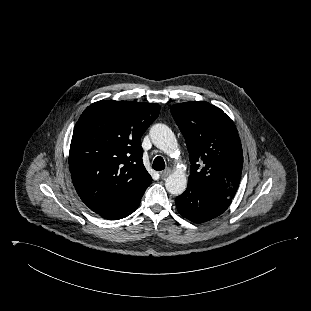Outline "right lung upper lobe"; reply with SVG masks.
Masks as SVG:
<instances>
[{
    "label": "right lung upper lobe",
    "mask_w": 311,
    "mask_h": 311,
    "mask_svg": "<svg viewBox=\"0 0 311 311\" xmlns=\"http://www.w3.org/2000/svg\"><path fill=\"white\" fill-rule=\"evenodd\" d=\"M158 104L98 101L75 125L69 168L81 200L93 211L120 212L152 182L143 165L141 136L159 115Z\"/></svg>",
    "instance_id": "1"
}]
</instances>
